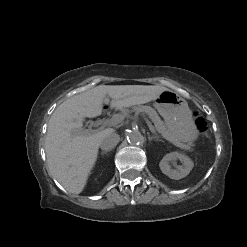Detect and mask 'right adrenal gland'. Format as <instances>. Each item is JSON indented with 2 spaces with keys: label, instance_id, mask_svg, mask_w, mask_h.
I'll list each match as a JSON object with an SVG mask.
<instances>
[{
  "label": "right adrenal gland",
  "instance_id": "2a0ac1e0",
  "mask_svg": "<svg viewBox=\"0 0 247 247\" xmlns=\"http://www.w3.org/2000/svg\"><path fill=\"white\" fill-rule=\"evenodd\" d=\"M101 154H102V155H105V154H107V152H106V151H103Z\"/></svg>",
  "mask_w": 247,
  "mask_h": 247
}]
</instances>
